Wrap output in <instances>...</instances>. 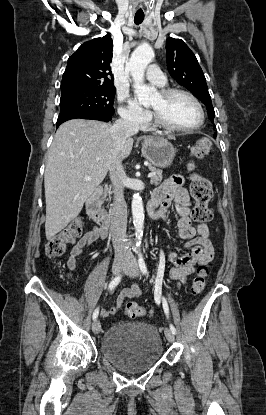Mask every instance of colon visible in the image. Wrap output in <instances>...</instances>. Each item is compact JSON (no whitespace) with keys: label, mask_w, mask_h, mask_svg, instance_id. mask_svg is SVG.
<instances>
[{"label":"colon","mask_w":266,"mask_h":415,"mask_svg":"<svg viewBox=\"0 0 266 415\" xmlns=\"http://www.w3.org/2000/svg\"><path fill=\"white\" fill-rule=\"evenodd\" d=\"M213 152L212 141L209 138L199 139L192 147L190 167H194V160L202 159L211 155ZM191 195L195 201L192 210V218L199 224H206L213 218L212 210L209 208V202L213 195L212 185L204 176L193 173L191 176ZM83 230V221L80 218L73 219L61 232L50 239L45 246V253L48 257H59L63 255L69 244L81 235ZM207 269L200 267L194 279L192 280L190 291L192 294H200L205 288V278ZM126 315L135 318L146 314V310L135 302L124 304Z\"/></svg>","instance_id":"colon-1"}]
</instances>
